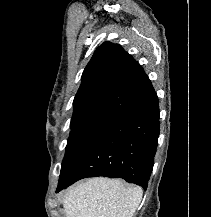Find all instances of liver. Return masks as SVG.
<instances>
[{
    "mask_svg": "<svg viewBox=\"0 0 211 217\" xmlns=\"http://www.w3.org/2000/svg\"><path fill=\"white\" fill-rule=\"evenodd\" d=\"M142 195L139 186L97 177L71 188L63 207L66 217H133Z\"/></svg>",
    "mask_w": 211,
    "mask_h": 217,
    "instance_id": "1",
    "label": "liver"
}]
</instances>
